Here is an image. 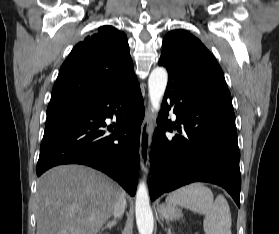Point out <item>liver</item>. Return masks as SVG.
Masks as SVG:
<instances>
[{
  "instance_id": "6515ba94",
  "label": "liver",
  "mask_w": 279,
  "mask_h": 234,
  "mask_svg": "<svg viewBox=\"0 0 279 234\" xmlns=\"http://www.w3.org/2000/svg\"><path fill=\"white\" fill-rule=\"evenodd\" d=\"M121 194L117 183L94 169H50L37 183L36 234H97Z\"/></svg>"
}]
</instances>
